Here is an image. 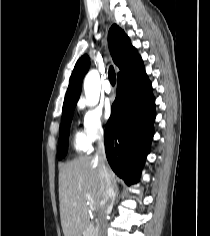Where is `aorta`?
Instances as JSON below:
<instances>
[{
	"label": "aorta",
	"mask_w": 210,
	"mask_h": 236,
	"mask_svg": "<svg viewBox=\"0 0 210 236\" xmlns=\"http://www.w3.org/2000/svg\"><path fill=\"white\" fill-rule=\"evenodd\" d=\"M101 90L100 75L97 70L89 71L84 79V92L89 105L94 106L99 101Z\"/></svg>",
	"instance_id": "1"
}]
</instances>
